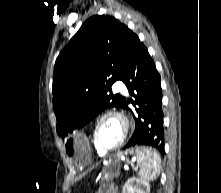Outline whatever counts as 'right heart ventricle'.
Returning <instances> with one entry per match:
<instances>
[{
  "label": "right heart ventricle",
  "instance_id": "obj_1",
  "mask_svg": "<svg viewBox=\"0 0 221 193\" xmlns=\"http://www.w3.org/2000/svg\"><path fill=\"white\" fill-rule=\"evenodd\" d=\"M97 153H98V154H100V155L102 154V152H101V151H99L98 149H97Z\"/></svg>",
  "mask_w": 221,
  "mask_h": 193
}]
</instances>
